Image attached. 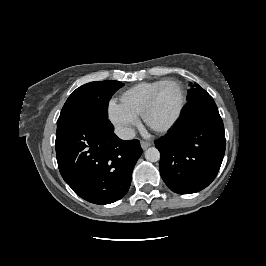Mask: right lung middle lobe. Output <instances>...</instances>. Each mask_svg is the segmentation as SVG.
<instances>
[{"mask_svg":"<svg viewBox=\"0 0 266 266\" xmlns=\"http://www.w3.org/2000/svg\"><path fill=\"white\" fill-rule=\"evenodd\" d=\"M122 86L119 81L91 82L77 88L65 102L57 120L56 136L89 114L107 116L112 95Z\"/></svg>","mask_w":266,"mask_h":266,"instance_id":"obj_1","label":"right lung middle lobe"}]
</instances>
